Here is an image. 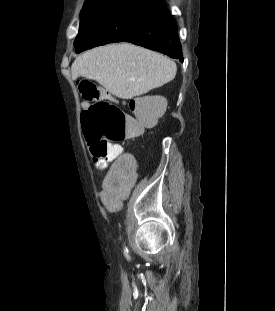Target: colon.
I'll return each mask as SVG.
<instances>
[{
    "label": "colon",
    "instance_id": "1",
    "mask_svg": "<svg viewBox=\"0 0 275 311\" xmlns=\"http://www.w3.org/2000/svg\"><path fill=\"white\" fill-rule=\"evenodd\" d=\"M78 86L83 100L93 102L82 112L81 120L90 152L97 160L115 158L120 154L121 141L139 136L143 127L152 126L159 117L149 100L129 104L135 113L132 118L103 98L101 90L89 80H80Z\"/></svg>",
    "mask_w": 275,
    "mask_h": 311
}]
</instances>
